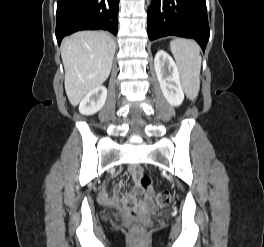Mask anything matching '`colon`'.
I'll return each instance as SVG.
<instances>
[{
    "mask_svg": "<svg viewBox=\"0 0 264 247\" xmlns=\"http://www.w3.org/2000/svg\"><path fill=\"white\" fill-rule=\"evenodd\" d=\"M140 186L147 190L151 187V179L147 175H143L139 180ZM170 201V194L167 191H160L155 195V202L158 205H166ZM132 215H137V211L135 209L131 210ZM133 229L135 232H139L141 227L139 225H134Z\"/></svg>",
    "mask_w": 264,
    "mask_h": 247,
    "instance_id": "5ec220e1",
    "label": "colon"
}]
</instances>
